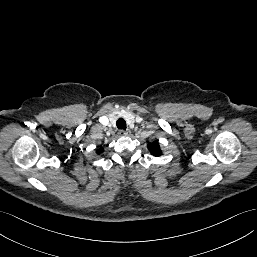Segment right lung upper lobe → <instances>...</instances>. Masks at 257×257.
I'll return each mask as SVG.
<instances>
[{"instance_id":"1","label":"right lung upper lobe","mask_w":257,"mask_h":257,"mask_svg":"<svg viewBox=\"0 0 257 257\" xmlns=\"http://www.w3.org/2000/svg\"><path fill=\"white\" fill-rule=\"evenodd\" d=\"M101 152H103V149H102V148H100V149L97 150V153H101Z\"/></svg>"}]
</instances>
